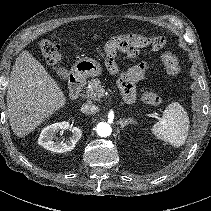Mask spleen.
I'll return each instance as SVG.
<instances>
[{
    "label": "spleen",
    "mask_w": 211,
    "mask_h": 211,
    "mask_svg": "<svg viewBox=\"0 0 211 211\" xmlns=\"http://www.w3.org/2000/svg\"><path fill=\"white\" fill-rule=\"evenodd\" d=\"M188 131L189 117L178 102L169 104L164 110L161 120L151 128V132L156 138L176 147L185 144Z\"/></svg>",
    "instance_id": "3e777b00"
}]
</instances>
